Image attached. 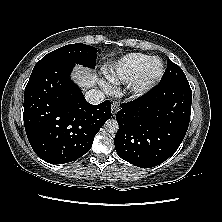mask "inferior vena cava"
Returning a JSON list of instances; mask_svg holds the SVG:
<instances>
[{"mask_svg": "<svg viewBox=\"0 0 222 222\" xmlns=\"http://www.w3.org/2000/svg\"><path fill=\"white\" fill-rule=\"evenodd\" d=\"M104 92L96 89H91L85 93V99L92 105H98L104 101Z\"/></svg>", "mask_w": 222, "mask_h": 222, "instance_id": "inferior-vena-cava-1", "label": "inferior vena cava"}]
</instances>
